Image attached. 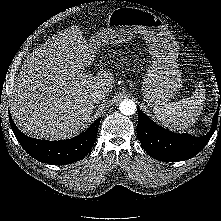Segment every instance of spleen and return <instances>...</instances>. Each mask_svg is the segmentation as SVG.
<instances>
[{
	"instance_id": "1",
	"label": "spleen",
	"mask_w": 221,
	"mask_h": 221,
	"mask_svg": "<svg viewBox=\"0 0 221 221\" xmlns=\"http://www.w3.org/2000/svg\"><path fill=\"white\" fill-rule=\"evenodd\" d=\"M205 90L200 83L192 96L184 100L154 106L156 118L166 127L173 130H184L191 127L203 110Z\"/></svg>"
}]
</instances>
